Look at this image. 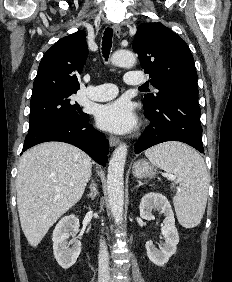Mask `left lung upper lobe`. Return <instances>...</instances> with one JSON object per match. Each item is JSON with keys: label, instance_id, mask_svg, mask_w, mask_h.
<instances>
[{"label": "left lung upper lobe", "instance_id": "1", "mask_svg": "<svg viewBox=\"0 0 232 282\" xmlns=\"http://www.w3.org/2000/svg\"><path fill=\"white\" fill-rule=\"evenodd\" d=\"M133 49L150 83L159 90L144 95L143 103L158 106L170 94H198L197 72L188 45L161 23L137 27Z\"/></svg>", "mask_w": 232, "mask_h": 282}]
</instances>
